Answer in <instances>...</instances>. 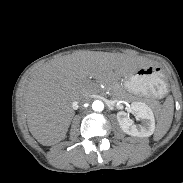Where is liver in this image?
<instances>
[{
  "mask_svg": "<svg viewBox=\"0 0 183 183\" xmlns=\"http://www.w3.org/2000/svg\"><path fill=\"white\" fill-rule=\"evenodd\" d=\"M148 62L126 54L79 51L45 63L26 85L23 104L32 136L42 145L62 141L74 116L72 102L90 90L88 77L106 83L127 77Z\"/></svg>",
  "mask_w": 183,
  "mask_h": 183,
  "instance_id": "1",
  "label": "liver"
}]
</instances>
